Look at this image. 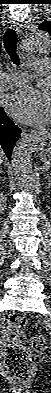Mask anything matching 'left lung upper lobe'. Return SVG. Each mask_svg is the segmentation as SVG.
Segmentation results:
<instances>
[{"label":"left lung upper lobe","mask_w":51,"mask_h":393,"mask_svg":"<svg viewBox=\"0 0 51 393\" xmlns=\"http://www.w3.org/2000/svg\"><path fill=\"white\" fill-rule=\"evenodd\" d=\"M40 30L47 31L51 35V21L43 22L39 25Z\"/></svg>","instance_id":"obj_1"}]
</instances>
